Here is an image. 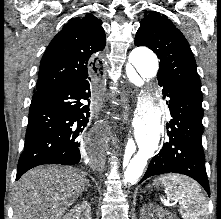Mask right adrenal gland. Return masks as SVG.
<instances>
[{"label": "right adrenal gland", "mask_w": 221, "mask_h": 219, "mask_svg": "<svg viewBox=\"0 0 221 219\" xmlns=\"http://www.w3.org/2000/svg\"><path fill=\"white\" fill-rule=\"evenodd\" d=\"M89 187H91V185L88 183V184H87V187L85 188V191H86V192L88 191V188H89Z\"/></svg>", "instance_id": "obj_1"}]
</instances>
